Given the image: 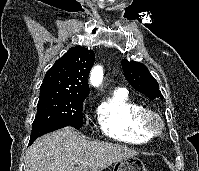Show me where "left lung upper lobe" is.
Returning a JSON list of instances; mask_svg holds the SVG:
<instances>
[{
    "instance_id": "5c2ea615",
    "label": "left lung upper lobe",
    "mask_w": 199,
    "mask_h": 171,
    "mask_svg": "<svg viewBox=\"0 0 199 171\" xmlns=\"http://www.w3.org/2000/svg\"><path fill=\"white\" fill-rule=\"evenodd\" d=\"M122 68L127 81L134 89L150 99H163L158 82L152 77L145 65L123 59Z\"/></svg>"
}]
</instances>
